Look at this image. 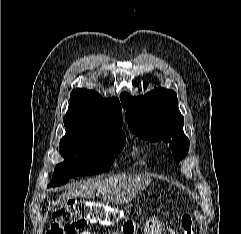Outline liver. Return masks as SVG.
I'll use <instances>...</instances> for the list:
<instances>
[{
	"instance_id": "1",
	"label": "liver",
	"mask_w": 241,
	"mask_h": 234,
	"mask_svg": "<svg viewBox=\"0 0 241 234\" xmlns=\"http://www.w3.org/2000/svg\"><path fill=\"white\" fill-rule=\"evenodd\" d=\"M151 178L143 175L118 174L108 178L87 180L76 183L63 193L51 210L63 207L68 198L83 197L94 198V192L102 195L103 200L112 203H129L138 193L143 191L150 183Z\"/></svg>"
}]
</instances>
